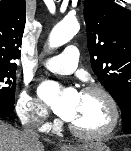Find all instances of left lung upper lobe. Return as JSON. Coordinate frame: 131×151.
Segmentation results:
<instances>
[{
	"instance_id": "obj_1",
	"label": "left lung upper lobe",
	"mask_w": 131,
	"mask_h": 151,
	"mask_svg": "<svg viewBox=\"0 0 131 151\" xmlns=\"http://www.w3.org/2000/svg\"><path fill=\"white\" fill-rule=\"evenodd\" d=\"M84 18L91 66L122 111L131 133V11L112 0H85Z\"/></svg>"
}]
</instances>
